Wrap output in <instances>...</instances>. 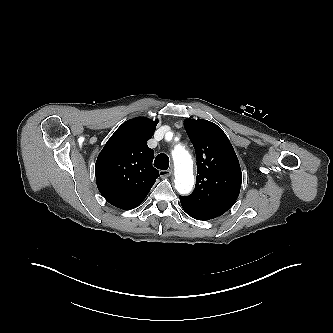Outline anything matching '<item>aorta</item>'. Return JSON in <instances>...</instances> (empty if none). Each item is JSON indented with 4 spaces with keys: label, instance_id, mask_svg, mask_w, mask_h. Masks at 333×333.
<instances>
[{
    "label": "aorta",
    "instance_id": "1",
    "mask_svg": "<svg viewBox=\"0 0 333 333\" xmlns=\"http://www.w3.org/2000/svg\"><path fill=\"white\" fill-rule=\"evenodd\" d=\"M175 165V184L180 194H188L194 185L193 162L189 152L182 145L172 151Z\"/></svg>",
    "mask_w": 333,
    "mask_h": 333
}]
</instances>
